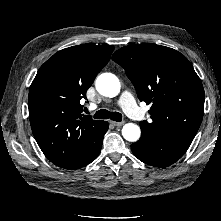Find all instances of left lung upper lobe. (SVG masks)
I'll list each match as a JSON object with an SVG mask.
<instances>
[{
    "instance_id": "1",
    "label": "left lung upper lobe",
    "mask_w": 221,
    "mask_h": 221,
    "mask_svg": "<svg viewBox=\"0 0 221 221\" xmlns=\"http://www.w3.org/2000/svg\"><path fill=\"white\" fill-rule=\"evenodd\" d=\"M112 59L132 81L140 101L152 104V121L141 129L191 143L204 113V89L191 63L180 52L156 44L129 45Z\"/></svg>"
}]
</instances>
